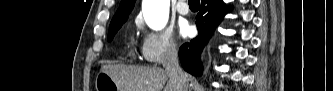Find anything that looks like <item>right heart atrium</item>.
<instances>
[{"label":"right heart atrium","mask_w":333,"mask_h":91,"mask_svg":"<svg viewBox=\"0 0 333 91\" xmlns=\"http://www.w3.org/2000/svg\"><path fill=\"white\" fill-rule=\"evenodd\" d=\"M136 25L143 32L141 56L146 62L162 64L177 55V42L170 31L147 30L140 19L136 20Z\"/></svg>","instance_id":"right-heart-atrium-1"}]
</instances>
